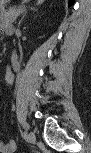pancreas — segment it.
<instances>
[{
    "mask_svg": "<svg viewBox=\"0 0 91 153\" xmlns=\"http://www.w3.org/2000/svg\"><path fill=\"white\" fill-rule=\"evenodd\" d=\"M20 12L21 11L18 9H12L1 14V21L5 29H8L10 27V25L16 20Z\"/></svg>",
    "mask_w": 91,
    "mask_h": 153,
    "instance_id": "obj_1",
    "label": "pancreas"
}]
</instances>
